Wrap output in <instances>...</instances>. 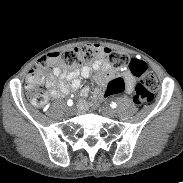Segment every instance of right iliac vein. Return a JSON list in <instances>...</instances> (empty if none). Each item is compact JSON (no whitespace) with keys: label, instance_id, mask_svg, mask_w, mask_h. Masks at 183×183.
<instances>
[{"label":"right iliac vein","instance_id":"1","mask_svg":"<svg viewBox=\"0 0 183 183\" xmlns=\"http://www.w3.org/2000/svg\"><path fill=\"white\" fill-rule=\"evenodd\" d=\"M69 111H70V112H73V108H72V107H70V108H69Z\"/></svg>","mask_w":183,"mask_h":183}]
</instances>
